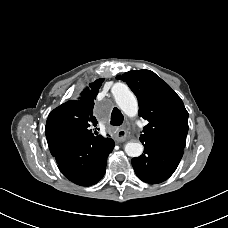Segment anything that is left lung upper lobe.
<instances>
[{
    "mask_svg": "<svg viewBox=\"0 0 228 228\" xmlns=\"http://www.w3.org/2000/svg\"><path fill=\"white\" fill-rule=\"evenodd\" d=\"M138 98L139 116L148 121L140 141L186 145L188 112L172 88L150 70L129 71L116 77Z\"/></svg>",
    "mask_w": 228,
    "mask_h": 228,
    "instance_id": "5c2ea615",
    "label": "left lung upper lobe"
}]
</instances>
